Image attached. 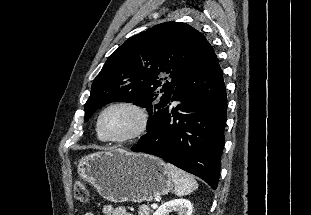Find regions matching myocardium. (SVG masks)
<instances>
[{"mask_svg": "<svg viewBox=\"0 0 311 215\" xmlns=\"http://www.w3.org/2000/svg\"><path fill=\"white\" fill-rule=\"evenodd\" d=\"M114 107H127L135 111L139 117L138 126L131 133L121 137L106 136L102 130V118L104 114ZM149 124V115L144 107L133 101H115L105 106L99 113L97 118V132L102 140L112 143H127L141 138L147 131Z\"/></svg>", "mask_w": 311, "mask_h": 215, "instance_id": "f54148a6", "label": "myocardium"}]
</instances>
